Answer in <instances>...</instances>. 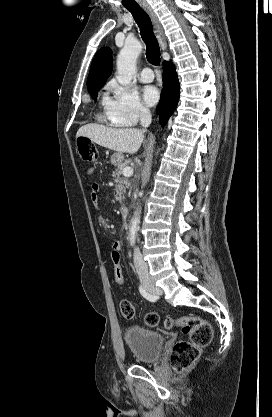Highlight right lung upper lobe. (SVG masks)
Listing matches in <instances>:
<instances>
[{"label": "right lung upper lobe", "mask_w": 272, "mask_h": 417, "mask_svg": "<svg viewBox=\"0 0 272 417\" xmlns=\"http://www.w3.org/2000/svg\"><path fill=\"white\" fill-rule=\"evenodd\" d=\"M112 70L111 50L101 48L95 55L87 80L88 91L97 90L104 85Z\"/></svg>", "instance_id": "1"}]
</instances>
